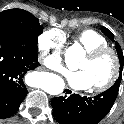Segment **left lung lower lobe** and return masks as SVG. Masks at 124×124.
Masks as SVG:
<instances>
[{"label": "left lung lower lobe", "mask_w": 124, "mask_h": 124, "mask_svg": "<svg viewBox=\"0 0 124 124\" xmlns=\"http://www.w3.org/2000/svg\"><path fill=\"white\" fill-rule=\"evenodd\" d=\"M119 89L112 86L94 96L71 94L53 98V117L60 124H98L111 110Z\"/></svg>", "instance_id": "left-lung-lower-lobe-1"}]
</instances>
